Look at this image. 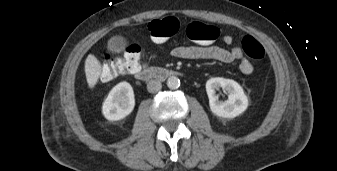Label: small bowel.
<instances>
[{
  "label": "small bowel",
  "mask_w": 337,
  "mask_h": 171,
  "mask_svg": "<svg viewBox=\"0 0 337 171\" xmlns=\"http://www.w3.org/2000/svg\"><path fill=\"white\" fill-rule=\"evenodd\" d=\"M222 42L230 47L225 48L218 45H178L172 49L171 54L178 59L215 60L222 63L239 61V70L243 74H251L254 69L252 63L243 56L242 50L238 46H231L233 43L232 37L224 35ZM155 58L156 55L152 54L150 60H154Z\"/></svg>",
  "instance_id": "obj_1"
}]
</instances>
